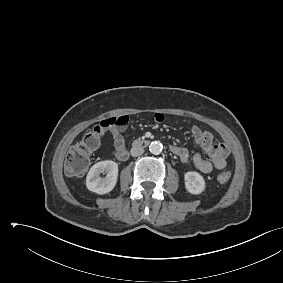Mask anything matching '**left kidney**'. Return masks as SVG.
I'll use <instances>...</instances> for the list:
<instances>
[{
  "mask_svg": "<svg viewBox=\"0 0 283 283\" xmlns=\"http://www.w3.org/2000/svg\"><path fill=\"white\" fill-rule=\"evenodd\" d=\"M185 187L191 194L197 195L205 190V180L196 171H189L184 175Z\"/></svg>",
  "mask_w": 283,
  "mask_h": 283,
  "instance_id": "obj_1",
  "label": "left kidney"
}]
</instances>
